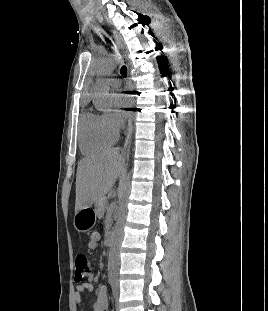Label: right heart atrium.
<instances>
[{"mask_svg": "<svg viewBox=\"0 0 268 311\" xmlns=\"http://www.w3.org/2000/svg\"><path fill=\"white\" fill-rule=\"evenodd\" d=\"M105 115V119L108 123V125L115 131H119V129L121 128V121L119 120V118L116 116L115 113L112 112H108Z\"/></svg>", "mask_w": 268, "mask_h": 311, "instance_id": "obj_1", "label": "right heart atrium"}]
</instances>
